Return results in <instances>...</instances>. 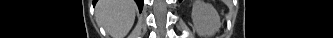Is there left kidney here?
Masks as SVG:
<instances>
[{"mask_svg":"<svg viewBox=\"0 0 333 38\" xmlns=\"http://www.w3.org/2000/svg\"><path fill=\"white\" fill-rule=\"evenodd\" d=\"M192 20L197 34L202 37L214 35L221 27L216 9L201 0H196L193 4Z\"/></svg>","mask_w":333,"mask_h":38,"instance_id":"obj_1","label":"left kidney"}]
</instances>
